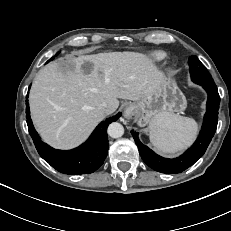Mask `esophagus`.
<instances>
[{"instance_id": "34e87169", "label": "esophagus", "mask_w": 231, "mask_h": 231, "mask_svg": "<svg viewBox=\"0 0 231 231\" xmlns=\"http://www.w3.org/2000/svg\"><path fill=\"white\" fill-rule=\"evenodd\" d=\"M136 113V107L134 105H128L125 109H124V117L126 119H131Z\"/></svg>"}]
</instances>
